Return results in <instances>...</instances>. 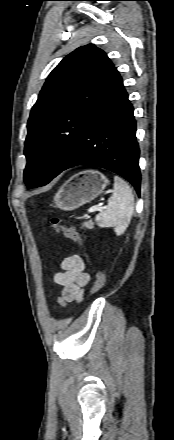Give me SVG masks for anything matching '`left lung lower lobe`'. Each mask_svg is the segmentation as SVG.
Wrapping results in <instances>:
<instances>
[{"instance_id": "left-lung-lower-lobe-1", "label": "left lung lower lobe", "mask_w": 174, "mask_h": 440, "mask_svg": "<svg viewBox=\"0 0 174 440\" xmlns=\"http://www.w3.org/2000/svg\"><path fill=\"white\" fill-rule=\"evenodd\" d=\"M139 152L133 106L117 71L90 111L77 148L61 172L78 165L102 167L123 176L140 195Z\"/></svg>"}]
</instances>
